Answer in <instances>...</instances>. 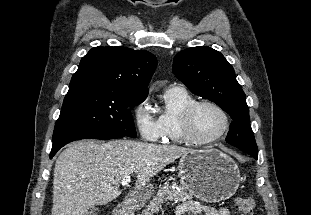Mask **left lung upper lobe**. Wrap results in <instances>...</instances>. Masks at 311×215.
Here are the masks:
<instances>
[{
    "label": "left lung upper lobe",
    "mask_w": 311,
    "mask_h": 215,
    "mask_svg": "<svg viewBox=\"0 0 311 215\" xmlns=\"http://www.w3.org/2000/svg\"><path fill=\"white\" fill-rule=\"evenodd\" d=\"M173 73L192 93L216 103L231 116L226 142L258 155L246 96L232 65L220 52L206 46L182 50L174 58Z\"/></svg>",
    "instance_id": "5c2ea615"
}]
</instances>
